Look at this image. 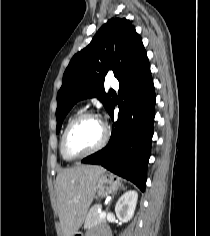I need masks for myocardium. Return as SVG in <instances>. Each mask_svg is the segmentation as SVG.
<instances>
[{
  "instance_id": "myocardium-1",
  "label": "myocardium",
  "mask_w": 210,
  "mask_h": 236,
  "mask_svg": "<svg viewBox=\"0 0 210 236\" xmlns=\"http://www.w3.org/2000/svg\"><path fill=\"white\" fill-rule=\"evenodd\" d=\"M85 118H94V119H98L97 115L92 113V112H83V113H80L78 115H76L69 123L68 125L66 126L65 130H64V133L62 135V139H61V153H62V156L64 157V159L68 160V161H73V160H77V159H81V158H84L88 155H91L99 150H101L108 142L109 140V130L108 128L103 124H102V127H103V136H102V139L101 141L93 148H91L90 150L86 151V152H83L81 154H78V155H70L67 151V148H66V144H67V138L69 136V133L71 131V129L73 128V126L79 122L80 120L82 119H85Z\"/></svg>"
}]
</instances>
